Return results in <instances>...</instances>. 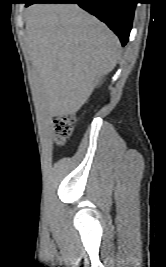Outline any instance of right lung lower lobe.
Here are the masks:
<instances>
[{
  "instance_id": "98d812e1",
  "label": "right lung lower lobe",
  "mask_w": 166,
  "mask_h": 267,
  "mask_svg": "<svg viewBox=\"0 0 166 267\" xmlns=\"http://www.w3.org/2000/svg\"><path fill=\"white\" fill-rule=\"evenodd\" d=\"M26 6L34 3H76L95 15L120 38L125 46L134 16L136 0H25Z\"/></svg>"
}]
</instances>
